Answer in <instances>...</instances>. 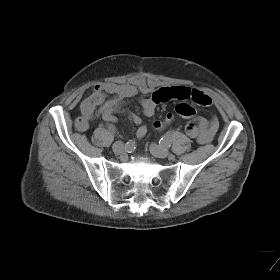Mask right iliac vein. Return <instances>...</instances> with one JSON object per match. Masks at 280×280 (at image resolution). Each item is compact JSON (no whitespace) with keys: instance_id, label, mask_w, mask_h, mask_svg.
Listing matches in <instances>:
<instances>
[{"instance_id":"obj_1","label":"right iliac vein","mask_w":280,"mask_h":280,"mask_svg":"<svg viewBox=\"0 0 280 280\" xmlns=\"http://www.w3.org/2000/svg\"><path fill=\"white\" fill-rule=\"evenodd\" d=\"M124 149V145L121 141H117L112 145V150L115 154H120Z\"/></svg>"}]
</instances>
